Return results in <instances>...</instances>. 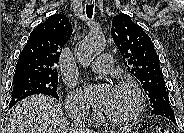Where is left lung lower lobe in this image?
<instances>
[{
    "label": "left lung lower lobe",
    "instance_id": "obj_1",
    "mask_svg": "<svg viewBox=\"0 0 184 133\" xmlns=\"http://www.w3.org/2000/svg\"><path fill=\"white\" fill-rule=\"evenodd\" d=\"M152 113L153 114L164 116V117L168 118L169 120H171L173 123L176 124L174 112H173V110H172V108H171L170 105H161V106H158V107H156V108H154L152 110Z\"/></svg>",
    "mask_w": 184,
    "mask_h": 133
}]
</instances>
